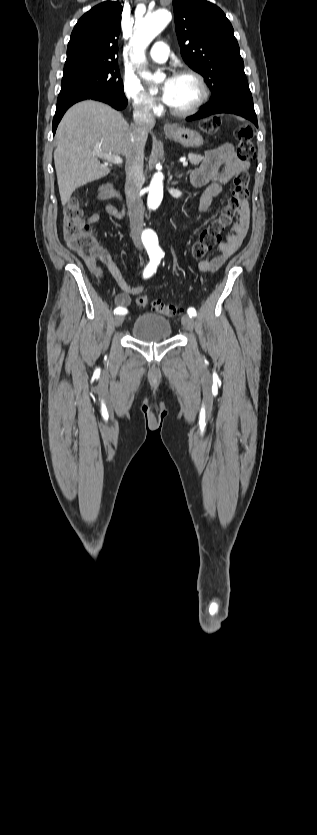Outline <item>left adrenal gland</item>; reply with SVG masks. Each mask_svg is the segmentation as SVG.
<instances>
[{
  "instance_id": "left-adrenal-gland-1",
  "label": "left adrenal gland",
  "mask_w": 317,
  "mask_h": 835,
  "mask_svg": "<svg viewBox=\"0 0 317 835\" xmlns=\"http://www.w3.org/2000/svg\"><path fill=\"white\" fill-rule=\"evenodd\" d=\"M181 177H182V174H180V175L178 176V178H181Z\"/></svg>"
}]
</instances>
